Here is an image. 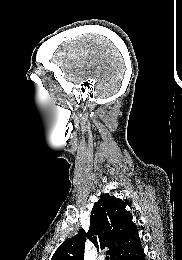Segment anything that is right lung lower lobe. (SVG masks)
<instances>
[{
    "mask_svg": "<svg viewBox=\"0 0 182 260\" xmlns=\"http://www.w3.org/2000/svg\"><path fill=\"white\" fill-rule=\"evenodd\" d=\"M115 260H145L140 239L127 250L123 251Z\"/></svg>",
    "mask_w": 182,
    "mask_h": 260,
    "instance_id": "right-lung-lower-lobe-1",
    "label": "right lung lower lobe"
}]
</instances>
